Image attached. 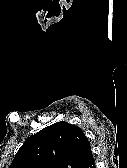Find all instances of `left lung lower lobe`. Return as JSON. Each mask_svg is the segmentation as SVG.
<instances>
[{"label":"left lung lower lobe","mask_w":127,"mask_h":168,"mask_svg":"<svg viewBox=\"0 0 127 168\" xmlns=\"http://www.w3.org/2000/svg\"><path fill=\"white\" fill-rule=\"evenodd\" d=\"M78 168H95V162L89 142L84 149Z\"/></svg>","instance_id":"0a47b994"}]
</instances>
